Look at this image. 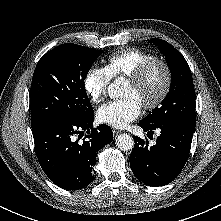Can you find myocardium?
Segmentation results:
<instances>
[{"mask_svg":"<svg viewBox=\"0 0 221 221\" xmlns=\"http://www.w3.org/2000/svg\"><path fill=\"white\" fill-rule=\"evenodd\" d=\"M159 65L163 68L164 73H165V81L162 90L158 94V96L151 102L143 104V107L146 110H154L158 108L163 101L166 99L167 95L170 92L171 86H172V81H173V74H172V69L168 62H166L163 59L159 58H153L144 64H142L129 78L128 82L132 85H140L148 73L151 71V69Z\"/></svg>","mask_w":221,"mask_h":221,"instance_id":"obj_1","label":"myocardium"}]
</instances>
